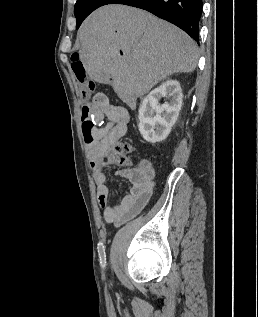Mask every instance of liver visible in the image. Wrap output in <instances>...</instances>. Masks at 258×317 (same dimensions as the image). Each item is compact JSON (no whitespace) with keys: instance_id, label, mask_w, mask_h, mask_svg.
Returning <instances> with one entry per match:
<instances>
[{"instance_id":"1","label":"liver","mask_w":258,"mask_h":317,"mask_svg":"<svg viewBox=\"0 0 258 317\" xmlns=\"http://www.w3.org/2000/svg\"><path fill=\"white\" fill-rule=\"evenodd\" d=\"M78 38L87 74L111 84L123 100L143 96L173 72H192L199 58L195 40L184 30L126 4H106L91 12Z\"/></svg>"}]
</instances>
